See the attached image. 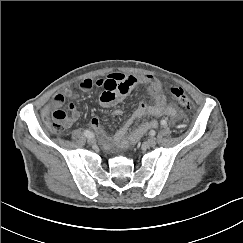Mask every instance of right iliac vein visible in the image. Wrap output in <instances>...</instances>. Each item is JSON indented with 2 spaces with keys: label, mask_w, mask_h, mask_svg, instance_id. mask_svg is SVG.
<instances>
[{
  "label": "right iliac vein",
  "mask_w": 243,
  "mask_h": 243,
  "mask_svg": "<svg viewBox=\"0 0 243 243\" xmlns=\"http://www.w3.org/2000/svg\"><path fill=\"white\" fill-rule=\"evenodd\" d=\"M87 142H88L90 145H93V144H95L96 140H95V138H93V137H89L88 140H87Z\"/></svg>",
  "instance_id": "right-iliac-vein-1"
}]
</instances>
